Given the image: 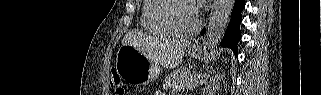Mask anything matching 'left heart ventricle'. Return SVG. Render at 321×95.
<instances>
[{
  "mask_svg": "<svg viewBox=\"0 0 321 95\" xmlns=\"http://www.w3.org/2000/svg\"><path fill=\"white\" fill-rule=\"evenodd\" d=\"M170 22L180 30L192 28L196 22V13L192 6L184 2L174 3L168 11Z\"/></svg>",
  "mask_w": 321,
  "mask_h": 95,
  "instance_id": "1",
  "label": "left heart ventricle"
}]
</instances>
